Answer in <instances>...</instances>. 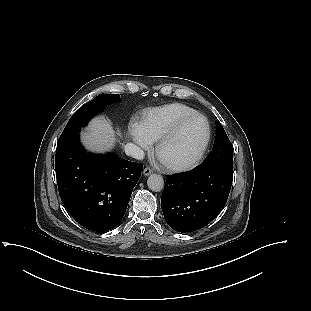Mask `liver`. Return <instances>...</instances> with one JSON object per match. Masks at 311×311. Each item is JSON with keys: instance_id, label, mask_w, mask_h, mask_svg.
Segmentation results:
<instances>
[{"instance_id": "obj_1", "label": "liver", "mask_w": 311, "mask_h": 311, "mask_svg": "<svg viewBox=\"0 0 311 311\" xmlns=\"http://www.w3.org/2000/svg\"><path fill=\"white\" fill-rule=\"evenodd\" d=\"M82 143L91 151L103 152L113 148L116 138L115 131L107 119H93L81 133Z\"/></svg>"}]
</instances>
